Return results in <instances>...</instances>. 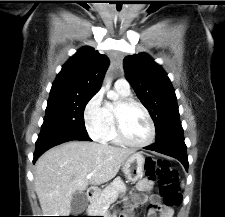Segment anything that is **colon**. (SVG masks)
<instances>
[{"instance_id": "colon-1", "label": "colon", "mask_w": 225, "mask_h": 217, "mask_svg": "<svg viewBox=\"0 0 225 217\" xmlns=\"http://www.w3.org/2000/svg\"><path fill=\"white\" fill-rule=\"evenodd\" d=\"M145 172L148 179L158 182L164 206L172 208L181 204L178 172L168 161L149 157L145 161Z\"/></svg>"}]
</instances>
